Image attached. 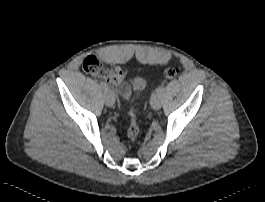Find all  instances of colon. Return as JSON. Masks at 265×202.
<instances>
[{
  "label": "colon",
  "mask_w": 265,
  "mask_h": 202,
  "mask_svg": "<svg viewBox=\"0 0 265 202\" xmlns=\"http://www.w3.org/2000/svg\"><path fill=\"white\" fill-rule=\"evenodd\" d=\"M179 73V70L175 67H169L165 71V77L169 80L174 79ZM138 98V97H137ZM139 135V127L136 119L131 118L130 125L128 128V137L130 140H136Z\"/></svg>",
  "instance_id": "obj_1"
}]
</instances>
